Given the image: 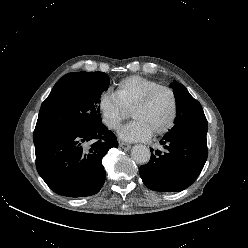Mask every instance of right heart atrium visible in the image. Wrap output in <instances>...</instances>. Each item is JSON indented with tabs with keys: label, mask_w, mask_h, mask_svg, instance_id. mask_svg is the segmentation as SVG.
<instances>
[{
	"label": "right heart atrium",
	"mask_w": 248,
	"mask_h": 248,
	"mask_svg": "<svg viewBox=\"0 0 248 248\" xmlns=\"http://www.w3.org/2000/svg\"><path fill=\"white\" fill-rule=\"evenodd\" d=\"M97 106L103 123L111 130H117L127 115L116 95L111 92H103Z\"/></svg>",
	"instance_id": "obj_1"
}]
</instances>
